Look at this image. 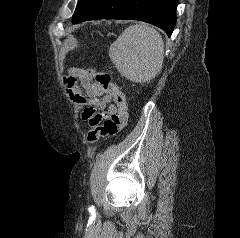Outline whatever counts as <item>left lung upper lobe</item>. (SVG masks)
<instances>
[{"instance_id":"1","label":"left lung upper lobe","mask_w":240,"mask_h":238,"mask_svg":"<svg viewBox=\"0 0 240 238\" xmlns=\"http://www.w3.org/2000/svg\"><path fill=\"white\" fill-rule=\"evenodd\" d=\"M90 1L91 0H78L77 7L74 12L72 20H75L82 15V13L84 12L85 8L90 3Z\"/></svg>"}]
</instances>
